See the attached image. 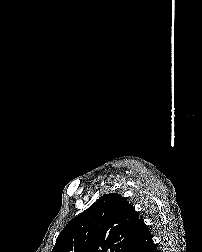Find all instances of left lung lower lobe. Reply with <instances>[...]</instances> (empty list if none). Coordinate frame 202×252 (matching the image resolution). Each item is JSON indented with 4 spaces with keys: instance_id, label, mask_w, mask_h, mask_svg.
Wrapping results in <instances>:
<instances>
[{
    "instance_id": "0a47b994",
    "label": "left lung lower lobe",
    "mask_w": 202,
    "mask_h": 252,
    "mask_svg": "<svg viewBox=\"0 0 202 252\" xmlns=\"http://www.w3.org/2000/svg\"><path fill=\"white\" fill-rule=\"evenodd\" d=\"M132 252H158L148 226L142 220L136 231V239Z\"/></svg>"
}]
</instances>
